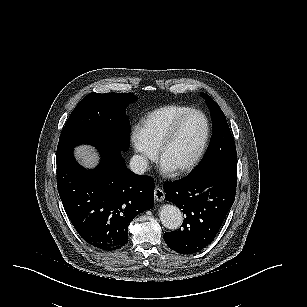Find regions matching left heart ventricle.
Returning a JSON list of instances; mask_svg holds the SVG:
<instances>
[{
	"label": "left heart ventricle",
	"mask_w": 307,
	"mask_h": 307,
	"mask_svg": "<svg viewBox=\"0 0 307 307\" xmlns=\"http://www.w3.org/2000/svg\"><path fill=\"white\" fill-rule=\"evenodd\" d=\"M199 129L198 122L194 120H188L179 126V132L176 135L179 142L174 144L173 148L166 150V157L170 162L184 164L193 157L201 140L202 133Z\"/></svg>",
	"instance_id": "1"
}]
</instances>
